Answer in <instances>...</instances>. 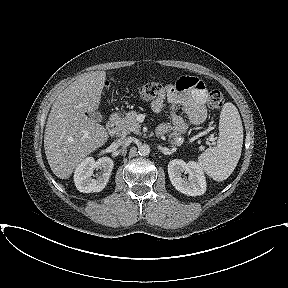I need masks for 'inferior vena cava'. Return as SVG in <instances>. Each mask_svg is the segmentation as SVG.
Wrapping results in <instances>:
<instances>
[{"label":"inferior vena cava","mask_w":288,"mask_h":288,"mask_svg":"<svg viewBox=\"0 0 288 288\" xmlns=\"http://www.w3.org/2000/svg\"><path fill=\"white\" fill-rule=\"evenodd\" d=\"M132 137H121L119 139L116 140V144L118 146H129L132 142Z\"/></svg>","instance_id":"602c4592"}]
</instances>
